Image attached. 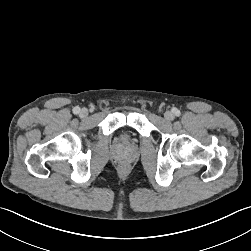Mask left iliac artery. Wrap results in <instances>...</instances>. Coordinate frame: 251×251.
Listing matches in <instances>:
<instances>
[{"instance_id":"1","label":"left iliac artery","mask_w":251,"mask_h":251,"mask_svg":"<svg viewBox=\"0 0 251 251\" xmlns=\"http://www.w3.org/2000/svg\"><path fill=\"white\" fill-rule=\"evenodd\" d=\"M174 113H175L176 115H179V114H180L179 110H177V109L174 110Z\"/></svg>"}]
</instances>
